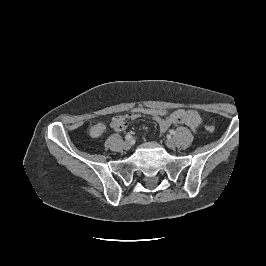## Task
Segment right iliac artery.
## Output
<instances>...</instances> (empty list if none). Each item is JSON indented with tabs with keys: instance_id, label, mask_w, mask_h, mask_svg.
I'll use <instances>...</instances> for the list:
<instances>
[{
	"instance_id": "82829eb1",
	"label": "right iliac artery",
	"mask_w": 266,
	"mask_h": 266,
	"mask_svg": "<svg viewBox=\"0 0 266 266\" xmlns=\"http://www.w3.org/2000/svg\"><path fill=\"white\" fill-rule=\"evenodd\" d=\"M125 139H126V140H130V139H132V135H131V134H127V135L125 136Z\"/></svg>"
}]
</instances>
